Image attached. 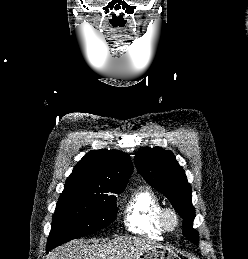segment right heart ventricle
<instances>
[{
    "label": "right heart ventricle",
    "instance_id": "right-heart-ventricle-1",
    "mask_svg": "<svg viewBox=\"0 0 248 259\" xmlns=\"http://www.w3.org/2000/svg\"><path fill=\"white\" fill-rule=\"evenodd\" d=\"M164 206L157 194L147 186L137 188L124 210L125 226L132 232L161 238L167 231L161 222Z\"/></svg>",
    "mask_w": 248,
    "mask_h": 259
}]
</instances>
